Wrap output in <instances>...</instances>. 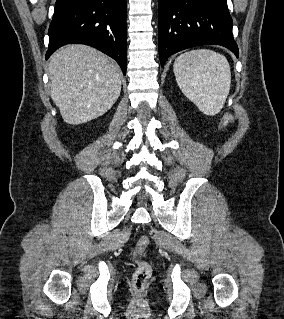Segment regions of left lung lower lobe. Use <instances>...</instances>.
I'll return each mask as SVG.
<instances>
[{
    "label": "left lung lower lobe",
    "instance_id": "1",
    "mask_svg": "<svg viewBox=\"0 0 284 319\" xmlns=\"http://www.w3.org/2000/svg\"><path fill=\"white\" fill-rule=\"evenodd\" d=\"M158 4L161 66L174 53L199 45H221L238 57L226 0H158Z\"/></svg>",
    "mask_w": 284,
    "mask_h": 319
}]
</instances>
